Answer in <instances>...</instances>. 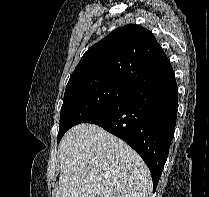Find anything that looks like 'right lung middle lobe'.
<instances>
[{
  "mask_svg": "<svg viewBox=\"0 0 209 197\" xmlns=\"http://www.w3.org/2000/svg\"><path fill=\"white\" fill-rule=\"evenodd\" d=\"M136 89L124 82L109 79L67 85L61 107L58 142L68 129L123 100Z\"/></svg>",
  "mask_w": 209,
  "mask_h": 197,
  "instance_id": "right-lung-middle-lobe-1",
  "label": "right lung middle lobe"
}]
</instances>
